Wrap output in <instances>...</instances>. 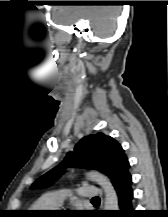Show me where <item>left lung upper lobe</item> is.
<instances>
[{
    "label": "left lung upper lobe",
    "mask_w": 168,
    "mask_h": 217,
    "mask_svg": "<svg viewBox=\"0 0 168 217\" xmlns=\"http://www.w3.org/2000/svg\"><path fill=\"white\" fill-rule=\"evenodd\" d=\"M128 159L121 145L103 133L82 138L55 168L37 179L32 189L53 184L67 167L96 169L109 176L114 187L122 180Z\"/></svg>",
    "instance_id": "1"
}]
</instances>
